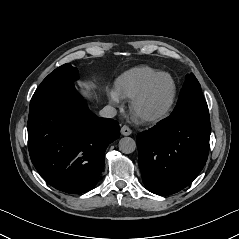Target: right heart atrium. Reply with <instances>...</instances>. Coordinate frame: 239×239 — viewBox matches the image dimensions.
<instances>
[{
	"label": "right heart atrium",
	"instance_id": "1",
	"mask_svg": "<svg viewBox=\"0 0 239 239\" xmlns=\"http://www.w3.org/2000/svg\"><path fill=\"white\" fill-rule=\"evenodd\" d=\"M107 99L112 105H119L121 102L120 95L113 89L107 91Z\"/></svg>",
	"mask_w": 239,
	"mask_h": 239
}]
</instances>
